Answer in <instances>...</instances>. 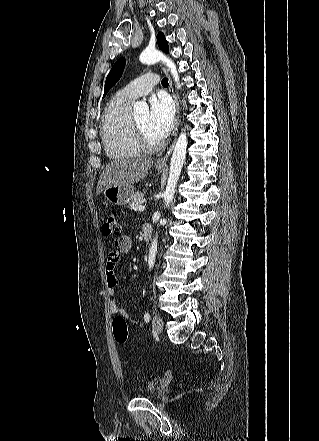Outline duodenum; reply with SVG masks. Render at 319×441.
Instances as JSON below:
<instances>
[{
  "instance_id": "duodenum-1",
  "label": "duodenum",
  "mask_w": 319,
  "mask_h": 441,
  "mask_svg": "<svg viewBox=\"0 0 319 441\" xmlns=\"http://www.w3.org/2000/svg\"><path fill=\"white\" fill-rule=\"evenodd\" d=\"M152 232H153V229L150 224L143 225V239L144 240H146V241L149 240L152 236Z\"/></svg>"
}]
</instances>
